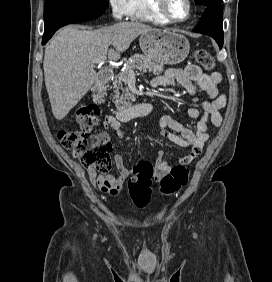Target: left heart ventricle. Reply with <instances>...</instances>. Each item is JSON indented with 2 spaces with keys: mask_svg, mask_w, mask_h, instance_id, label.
Segmentation results:
<instances>
[{
  "mask_svg": "<svg viewBox=\"0 0 272 282\" xmlns=\"http://www.w3.org/2000/svg\"><path fill=\"white\" fill-rule=\"evenodd\" d=\"M169 12L177 18L185 17L187 6L185 0H166Z\"/></svg>",
  "mask_w": 272,
  "mask_h": 282,
  "instance_id": "1",
  "label": "left heart ventricle"
}]
</instances>
